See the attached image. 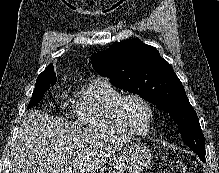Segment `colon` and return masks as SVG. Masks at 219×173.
Wrapping results in <instances>:
<instances>
[{
  "mask_svg": "<svg viewBox=\"0 0 219 173\" xmlns=\"http://www.w3.org/2000/svg\"><path fill=\"white\" fill-rule=\"evenodd\" d=\"M171 173H187L188 168L182 160H174L170 166Z\"/></svg>",
  "mask_w": 219,
  "mask_h": 173,
  "instance_id": "colon-1",
  "label": "colon"
}]
</instances>
